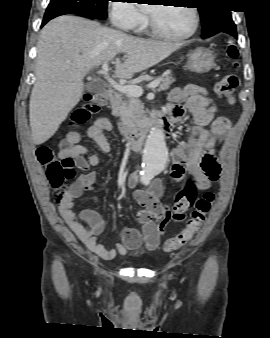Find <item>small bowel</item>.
<instances>
[{"mask_svg": "<svg viewBox=\"0 0 270 338\" xmlns=\"http://www.w3.org/2000/svg\"><path fill=\"white\" fill-rule=\"evenodd\" d=\"M169 103L163 107L164 113L171 123V134L174 133V124L182 119L183 109H187L194 120V127L185 145H179L173 150L174 163L170 168V176L173 181L181 182L186 174L192 176L199 189L206 190L210 187L212 178L205 174L201 168L203 156L207 150L212 158L213 148L220 146L229 134V130L219 131L216 128L209 129L208 126L216 122L218 112L216 104L209 97L205 88L188 84L183 88L176 87L169 94ZM112 129V123L107 117H100L87 129V136L92 139L100 148L102 153H108L109 146L105 138V132ZM82 133L79 130H71L67 133L66 139L62 142L59 152L60 158L70 157L75 166L80 170H88L90 166L99 164V156L91 154L88 158L87 148L82 141ZM70 145L67 147V145ZM219 168V166H218ZM220 171V168H219ZM219 176V175H218ZM97 173L89 171L80 174L77 179L62 193L57 194L59 211L70 229L78 236L83 244L94 254L104 260H112L118 254H124L127 249L139 250L144 244L153 251L157 248L160 235L165 230V224H157L154 221H147L143 224V235L133 229L122 231L121 242L112 248H106L98 239L104 231V222L98 215L91 211H83L80 215L75 212V200L82 196L85 191L91 190L95 184ZM139 175L135 172L129 186L134 188ZM163 194V185L160 180H154L149 192H134V199L144 207V211L154 218L164 214V206L160 202ZM84 221L86 223H84Z\"/></svg>", "mask_w": 270, "mask_h": 338, "instance_id": "small-bowel-1", "label": "small bowel"}]
</instances>
